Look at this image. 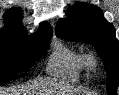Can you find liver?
Here are the masks:
<instances>
[{
    "label": "liver",
    "mask_w": 119,
    "mask_h": 95,
    "mask_svg": "<svg viewBox=\"0 0 119 95\" xmlns=\"http://www.w3.org/2000/svg\"><path fill=\"white\" fill-rule=\"evenodd\" d=\"M59 90V93L73 95L76 89L64 84L47 80L34 81L20 88L5 89L0 87V95H41L40 93H48L47 90Z\"/></svg>",
    "instance_id": "liver-1"
}]
</instances>
